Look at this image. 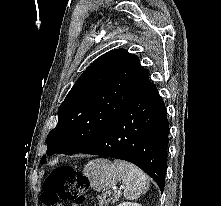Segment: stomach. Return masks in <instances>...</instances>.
I'll return each instance as SVG.
<instances>
[{"mask_svg": "<svg viewBox=\"0 0 221 206\" xmlns=\"http://www.w3.org/2000/svg\"><path fill=\"white\" fill-rule=\"evenodd\" d=\"M90 186L96 191H106L120 181V172L117 167L107 159L90 161L83 170Z\"/></svg>", "mask_w": 221, "mask_h": 206, "instance_id": "0dacf381", "label": "stomach"}]
</instances>
